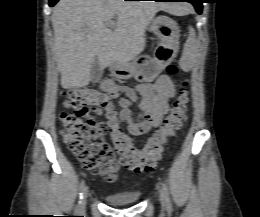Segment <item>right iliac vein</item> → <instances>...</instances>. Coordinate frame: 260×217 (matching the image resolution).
Wrapping results in <instances>:
<instances>
[{"label":"right iliac vein","instance_id":"right-iliac-vein-1","mask_svg":"<svg viewBox=\"0 0 260 217\" xmlns=\"http://www.w3.org/2000/svg\"><path fill=\"white\" fill-rule=\"evenodd\" d=\"M87 197H88V189L85 188L84 192H83V198H82L81 204H80V210H79L80 212H83L85 209Z\"/></svg>","mask_w":260,"mask_h":217}]
</instances>
